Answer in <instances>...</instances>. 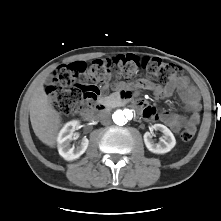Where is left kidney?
<instances>
[{"label":"left kidney","mask_w":221,"mask_h":221,"mask_svg":"<svg viewBox=\"0 0 221 221\" xmlns=\"http://www.w3.org/2000/svg\"><path fill=\"white\" fill-rule=\"evenodd\" d=\"M153 129L161 131L164 136L159 143H155L152 139L151 133L146 132L143 137L147 149L156 154H164L171 151L176 145V139L173 133L162 124H154L150 130Z\"/></svg>","instance_id":"obj_1"}]
</instances>
